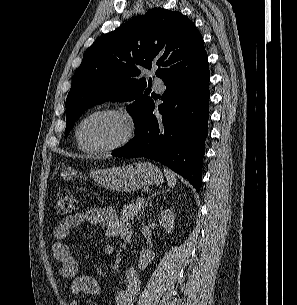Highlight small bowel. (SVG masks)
<instances>
[{
  "label": "small bowel",
  "mask_w": 297,
  "mask_h": 305,
  "mask_svg": "<svg viewBox=\"0 0 297 305\" xmlns=\"http://www.w3.org/2000/svg\"><path fill=\"white\" fill-rule=\"evenodd\" d=\"M84 223L101 226L105 229L108 237H123L124 230L132 229V226L128 222L120 220L115 209L111 207L86 208L61 220L55 226L51 250L56 260L60 263V276L66 280L67 287L71 293L96 296L100 294L99 284L93 277L78 273L77 262L65 244L70 230ZM114 251L115 248L112 244H107L104 248V252L107 255H112ZM124 284L125 287L118 290L114 295V305L134 304V300L140 291L141 281L138 272L133 267L126 269ZM69 305H78V302L73 300Z\"/></svg>",
  "instance_id": "1"
}]
</instances>
